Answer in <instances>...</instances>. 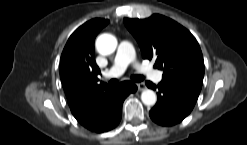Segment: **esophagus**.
Instances as JSON below:
<instances>
[{
  "instance_id": "34e87169",
  "label": "esophagus",
  "mask_w": 247,
  "mask_h": 145,
  "mask_svg": "<svg viewBox=\"0 0 247 145\" xmlns=\"http://www.w3.org/2000/svg\"><path fill=\"white\" fill-rule=\"evenodd\" d=\"M137 87H138V90H139V91H142V90H144V88H145V84H144L143 82L137 83Z\"/></svg>"
}]
</instances>
